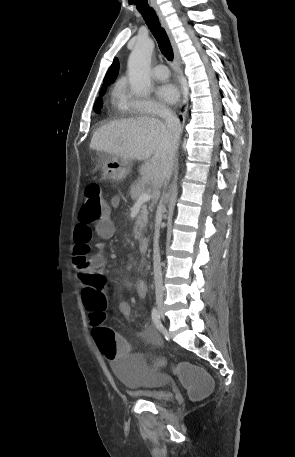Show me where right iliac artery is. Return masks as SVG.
<instances>
[{
    "label": "right iliac artery",
    "mask_w": 295,
    "mask_h": 457,
    "mask_svg": "<svg viewBox=\"0 0 295 457\" xmlns=\"http://www.w3.org/2000/svg\"><path fill=\"white\" fill-rule=\"evenodd\" d=\"M151 316H152V320H153L155 326L157 327V329L162 330L160 314H159V311L155 307L152 309Z\"/></svg>",
    "instance_id": "82829eb1"
}]
</instances>
